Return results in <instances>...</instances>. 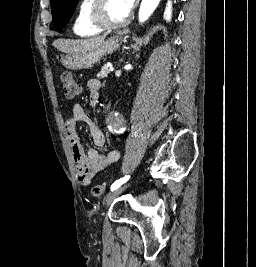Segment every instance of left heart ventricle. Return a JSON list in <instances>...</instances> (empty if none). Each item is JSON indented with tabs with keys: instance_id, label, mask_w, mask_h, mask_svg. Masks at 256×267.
Masks as SVG:
<instances>
[{
	"instance_id": "b2bd125f",
	"label": "left heart ventricle",
	"mask_w": 256,
	"mask_h": 267,
	"mask_svg": "<svg viewBox=\"0 0 256 267\" xmlns=\"http://www.w3.org/2000/svg\"><path fill=\"white\" fill-rule=\"evenodd\" d=\"M103 15L107 23L112 26H121L123 22H125L126 20H129V18L124 16L119 5L114 0L109 1L107 3L106 9Z\"/></svg>"
}]
</instances>
